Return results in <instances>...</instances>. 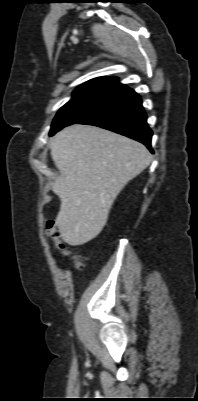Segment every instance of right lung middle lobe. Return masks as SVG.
I'll list each match as a JSON object with an SVG mask.
<instances>
[{
  "instance_id": "1",
  "label": "right lung middle lobe",
  "mask_w": 198,
  "mask_h": 401,
  "mask_svg": "<svg viewBox=\"0 0 198 401\" xmlns=\"http://www.w3.org/2000/svg\"><path fill=\"white\" fill-rule=\"evenodd\" d=\"M109 92V90H81L74 92L70 101L55 116L49 136H53L68 125L77 123L93 112L102 104Z\"/></svg>"
}]
</instances>
